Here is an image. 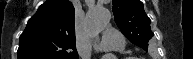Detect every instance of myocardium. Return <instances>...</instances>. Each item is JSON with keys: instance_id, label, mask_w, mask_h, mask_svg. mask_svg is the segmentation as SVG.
<instances>
[{"instance_id": "1", "label": "myocardium", "mask_w": 193, "mask_h": 59, "mask_svg": "<svg viewBox=\"0 0 193 59\" xmlns=\"http://www.w3.org/2000/svg\"><path fill=\"white\" fill-rule=\"evenodd\" d=\"M121 59H142V58L133 57V56H126V57H123Z\"/></svg>"}]
</instances>
